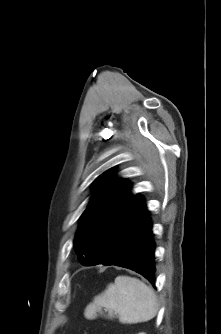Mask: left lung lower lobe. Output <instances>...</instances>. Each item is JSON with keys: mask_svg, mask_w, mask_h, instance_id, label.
Returning <instances> with one entry per match:
<instances>
[{"mask_svg": "<svg viewBox=\"0 0 221 334\" xmlns=\"http://www.w3.org/2000/svg\"><path fill=\"white\" fill-rule=\"evenodd\" d=\"M151 219L144 200L131 198L100 238L91 265H116L143 275L155 287V263Z\"/></svg>", "mask_w": 221, "mask_h": 334, "instance_id": "obj_1", "label": "left lung lower lobe"}]
</instances>
